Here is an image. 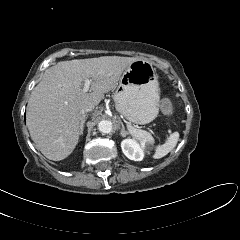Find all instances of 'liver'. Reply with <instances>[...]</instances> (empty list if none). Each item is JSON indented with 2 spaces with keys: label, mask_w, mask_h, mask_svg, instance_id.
I'll list each match as a JSON object with an SVG mask.
<instances>
[{
  "label": "liver",
  "mask_w": 240,
  "mask_h": 240,
  "mask_svg": "<svg viewBox=\"0 0 240 240\" xmlns=\"http://www.w3.org/2000/svg\"><path fill=\"white\" fill-rule=\"evenodd\" d=\"M136 60L120 56L75 59L45 71L31 94L26 116L31 139L44 156L60 161L73 152L81 135V109H94ZM89 78L90 91L84 93L83 82Z\"/></svg>",
  "instance_id": "6515ba94"
}]
</instances>
